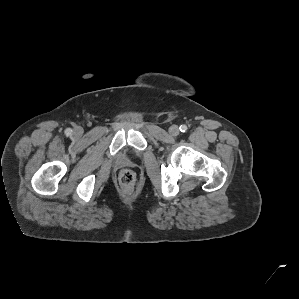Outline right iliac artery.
Returning <instances> with one entry per match:
<instances>
[{
  "mask_svg": "<svg viewBox=\"0 0 299 299\" xmlns=\"http://www.w3.org/2000/svg\"><path fill=\"white\" fill-rule=\"evenodd\" d=\"M71 132H72V130H71V129H67V130H66V134H67V135H70V134H71Z\"/></svg>",
  "mask_w": 299,
  "mask_h": 299,
  "instance_id": "82829eb1",
  "label": "right iliac artery"
}]
</instances>
